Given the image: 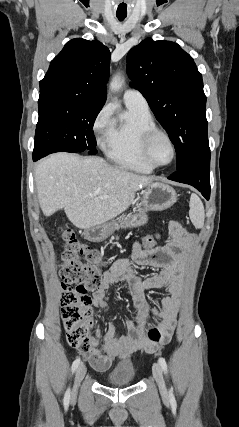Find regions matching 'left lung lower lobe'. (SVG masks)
I'll return each instance as SVG.
<instances>
[{
	"label": "left lung lower lobe",
	"mask_w": 239,
	"mask_h": 427,
	"mask_svg": "<svg viewBox=\"0 0 239 427\" xmlns=\"http://www.w3.org/2000/svg\"><path fill=\"white\" fill-rule=\"evenodd\" d=\"M168 179L192 185L209 200L210 197V152L193 158L183 168L178 169Z\"/></svg>",
	"instance_id": "left-lung-lower-lobe-1"
}]
</instances>
